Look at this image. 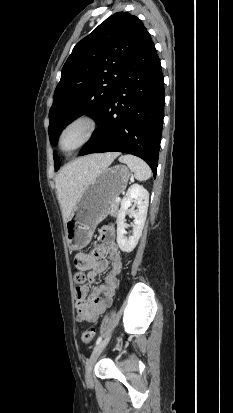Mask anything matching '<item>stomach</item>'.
Wrapping results in <instances>:
<instances>
[{
    "label": "stomach",
    "instance_id": "0dacf381",
    "mask_svg": "<svg viewBox=\"0 0 233 413\" xmlns=\"http://www.w3.org/2000/svg\"><path fill=\"white\" fill-rule=\"evenodd\" d=\"M129 177L126 166L116 165L103 169L84 189L65 224L71 250L88 245L96 226L108 215L110 202L125 190Z\"/></svg>",
    "mask_w": 233,
    "mask_h": 413
}]
</instances>
